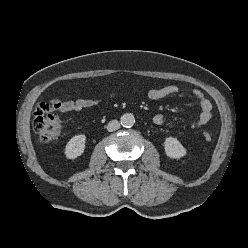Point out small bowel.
<instances>
[{
  "label": "small bowel",
  "mask_w": 248,
  "mask_h": 248,
  "mask_svg": "<svg viewBox=\"0 0 248 248\" xmlns=\"http://www.w3.org/2000/svg\"><path fill=\"white\" fill-rule=\"evenodd\" d=\"M179 90V87L176 85H166L159 88L149 89L147 91V96L150 100L157 101L175 95ZM192 93L198 99L201 109L199 117L190 124V128L195 129L206 125L210 121L212 117V103L200 90L193 89ZM99 102V98H82L77 100L55 98L49 103H39L36 107L35 115L40 116L51 111H59L60 113L80 111L85 108L93 107ZM153 121L156 125L161 126L166 123V117L163 114H157L154 116Z\"/></svg>",
  "instance_id": "obj_1"
}]
</instances>
